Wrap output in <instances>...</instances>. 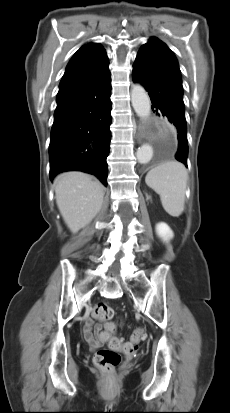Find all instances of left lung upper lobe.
I'll use <instances>...</instances> for the list:
<instances>
[{
    "mask_svg": "<svg viewBox=\"0 0 230 413\" xmlns=\"http://www.w3.org/2000/svg\"><path fill=\"white\" fill-rule=\"evenodd\" d=\"M141 48H148V49H151L157 52L165 60H167L170 65H172L174 68H176L180 72L179 65H178V62H177V59L174 53L166 46L165 43H163L158 38L156 37L150 38L149 41L146 44H144Z\"/></svg>",
    "mask_w": 230,
    "mask_h": 413,
    "instance_id": "1",
    "label": "left lung upper lobe"
}]
</instances>
